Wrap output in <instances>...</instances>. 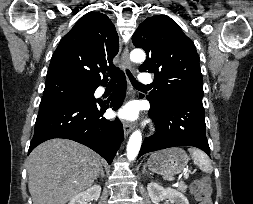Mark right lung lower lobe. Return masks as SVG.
Returning <instances> with one entry per match:
<instances>
[{
  "label": "right lung lower lobe",
  "mask_w": 253,
  "mask_h": 204,
  "mask_svg": "<svg viewBox=\"0 0 253 204\" xmlns=\"http://www.w3.org/2000/svg\"><path fill=\"white\" fill-rule=\"evenodd\" d=\"M125 89L126 78L120 72L117 86L106 104L95 99L41 102L28 154L46 140L66 138L88 146L110 164L124 138L123 126L118 119L112 122L102 115L107 108L116 110L121 106Z\"/></svg>",
  "instance_id": "right-lung-lower-lobe-1"
}]
</instances>
